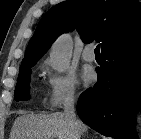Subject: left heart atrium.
Returning a JSON list of instances; mask_svg holds the SVG:
<instances>
[{
    "label": "left heart atrium",
    "mask_w": 141,
    "mask_h": 139,
    "mask_svg": "<svg viewBox=\"0 0 141 139\" xmlns=\"http://www.w3.org/2000/svg\"><path fill=\"white\" fill-rule=\"evenodd\" d=\"M81 79H82L84 85H86V86L90 85L95 79L94 71L90 68L83 69V71L81 73Z\"/></svg>",
    "instance_id": "39dd6f15"
}]
</instances>
